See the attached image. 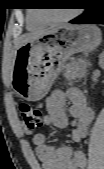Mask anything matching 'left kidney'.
<instances>
[{
	"label": "left kidney",
	"mask_w": 104,
	"mask_h": 169,
	"mask_svg": "<svg viewBox=\"0 0 104 169\" xmlns=\"http://www.w3.org/2000/svg\"><path fill=\"white\" fill-rule=\"evenodd\" d=\"M101 62L103 61V59H102V57H101V60H100Z\"/></svg>",
	"instance_id": "1"
}]
</instances>
